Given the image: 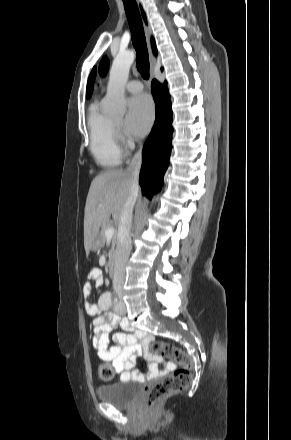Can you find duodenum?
Wrapping results in <instances>:
<instances>
[{
    "instance_id": "obj_1",
    "label": "duodenum",
    "mask_w": 291,
    "mask_h": 440,
    "mask_svg": "<svg viewBox=\"0 0 291 440\" xmlns=\"http://www.w3.org/2000/svg\"><path fill=\"white\" fill-rule=\"evenodd\" d=\"M108 271H109L110 277L115 276L116 269H115V260H114L113 256H111L108 260Z\"/></svg>"
}]
</instances>
